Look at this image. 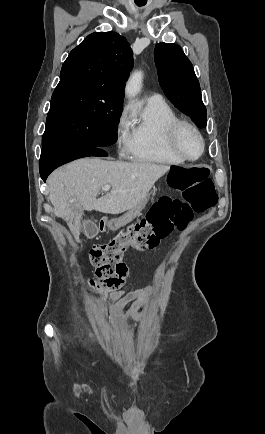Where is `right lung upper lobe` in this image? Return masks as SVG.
I'll return each mask as SVG.
<instances>
[{"instance_id": "right-lung-upper-lobe-1", "label": "right lung upper lobe", "mask_w": 265, "mask_h": 434, "mask_svg": "<svg viewBox=\"0 0 265 434\" xmlns=\"http://www.w3.org/2000/svg\"><path fill=\"white\" fill-rule=\"evenodd\" d=\"M130 44L116 32H95L74 48L65 60L60 82H88L124 96L133 67Z\"/></svg>"}]
</instances>
